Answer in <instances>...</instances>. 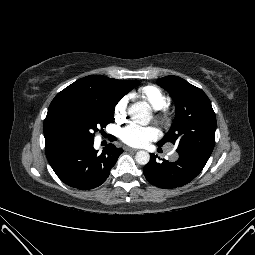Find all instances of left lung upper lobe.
<instances>
[{"mask_svg": "<svg viewBox=\"0 0 255 255\" xmlns=\"http://www.w3.org/2000/svg\"><path fill=\"white\" fill-rule=\"evenodd\" d=\"M157 84L169 92L176 105L174 125L157 145L177 143V152L210 157L215 144L216 117L207 95L177 76L163 77Z\"/></svg>", "mask_w": 255, "mask_h": 255, "instance_id": "obj_1", "label": "left lung upper lobe"}]
</instances>
